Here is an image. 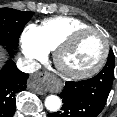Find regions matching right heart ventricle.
I'll return each mask as SVG.
<instances>
[{"mask_svg": "<svg viewBox=\"0 0 117 117\" xmlns=\"http://www.w3.org/2000/svg\"><path fill=\"white\" fill-rule=\"evenodd\" d=\"M91 27L84 21L67 16H58L44 20L38 26L39 37L44 47L55 50L60 42L71 32Z\"/></svg>", "mask_w": 117, "mask_h": 117, "instance_id": "obj_1", "label": "right heart ventricle"}]
</instances>
